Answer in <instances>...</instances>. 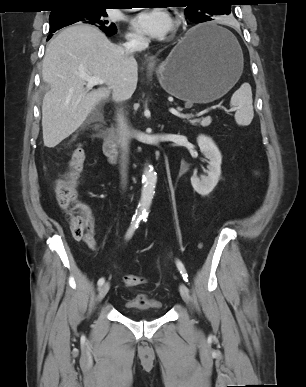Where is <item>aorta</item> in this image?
<instances>
[{
    "label": "aorta",
    "instance_id": "1",
    "mask_svg": "<svg viewBox=\"0 0 306 387\" xmlns=\"http://www.w3.org/2000/svg\"><path fill=\"white\" fill-rule=\"evenodd\" d=\"M157 175L153 170V167H146L142 176V190H141V198L139 201V215H146L154 196V190L156 187Z\"/></svg>",
    "mask_w": 306,
    "mask_h": 387
}]
</instances>
